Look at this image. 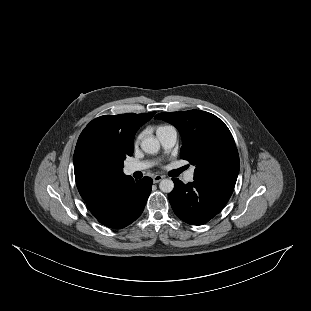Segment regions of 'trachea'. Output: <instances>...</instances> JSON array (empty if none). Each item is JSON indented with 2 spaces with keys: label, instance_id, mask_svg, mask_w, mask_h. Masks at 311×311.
I'll list each match as a JSON object with an SVG mask.
<instances>
[{
  "label": "trachea",
  "instance_id": "trachea-1",
  "mask_svg": "<svg viewBox=\"0 0 311 311\" xmlns=\"http://www.w3.org/2000/svg\"><path fill=\"white\" fill-rule=\"evenodd\" d=\"M185 167V169H187L188 168V166H184Z\"/></svg>",
  "mask_w": 311,
  "mask_h": 311
}]
</instances>
